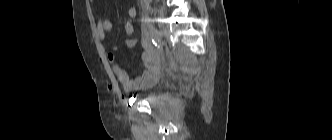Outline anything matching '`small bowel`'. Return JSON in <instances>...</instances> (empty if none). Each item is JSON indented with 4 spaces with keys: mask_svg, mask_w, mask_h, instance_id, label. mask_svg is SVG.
Here are the masks:
<instances>
[{
    "mask_svg": "<svg viewBox=\"0 0 332 140\" xmlns=\"http://www.w3.org/2000/svg\"><path fill=\"white\" fill-rule=\"evenodd\" d=\"M92 3L94 0H90ZM137 14V11L134 7L128 9V15L131 18H134ZM113 28V24L109 19L99 18L97 22V34L101 40H104L107 33L110 32ZM138 40L134 38L125 39L120 46L132 48L137 44ZM140 43L144 49L142 54V59L145 64L146 71L145 73L135 79H130L127 71L122 68L118 63L115 62L114 52H109L108 58L111 61L112 71L117 78V80L122 84L123 88L127 92L136 91L142 89L146 84L152 80V69H153V51L150 46L148 37L143 36L140 39ZM118 47H116L117 49Z\"/></svg>",
    "mask_w": 332,
    "mask_h": 140,
    "instance_id": "obj_1",
    "label": "small bowel"
}]
</instances>
